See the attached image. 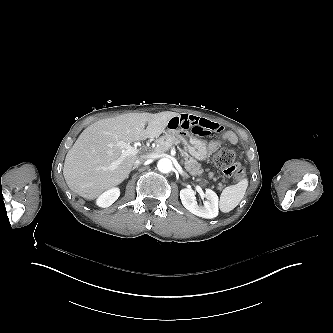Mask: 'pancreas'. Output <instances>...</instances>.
I'll return each mask as SVG.
<instances>
[{
    "instance_id": "1",
    "label": "pancreas",
    "mask_w": 333,
    "mask_h": 333,
    "mask_svg": "<svg viewBox=\"0 0 333 333\" xmlns=\"http://www.w3.org/2000/svg\"><path fill=\"white\" fill-rule=\"evenodd\" d=\"M157 146L154 148V152L156 153H164L171 146L174 145H180L181 144V138L177 136V134H166L164 136H161L156 140ZM181 156L184 159L183 165L185 170L192 176H197V177H202L203 174L205 173L206 170L203 169L201 164L193 158L191 155L188 153V148L187 144L183 145L182 151H181ZM215 172H208L206 174V177L208 179H211L216 182V190H221L222 187L225 184V180L222 179L220 182L217 181V179L214 177Z\"/></svg>"
}]
</instances>
